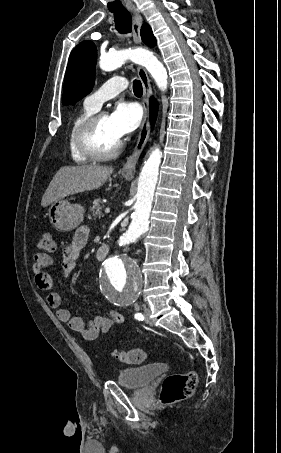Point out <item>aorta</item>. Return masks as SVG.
I'll return each mask as SVG.
<instances>
[{"label": "aorta", "instance_id": "1", "mask_svg": "<svg viewBox=\"0 0 281 453\" xmlns=\"http://www.w3.org/2000/svg\"><path fill=\"white\" fill-rule=\"evenodd\" d=\"M131 60L147 69L160 90L167 88V71L152 52L143 48L127 49L101 56L99 66L103 71H112ZM162 153L154 148L141 170L137 201L128 230L120 238V244L135 242L149 229V216L152 208L155 186L158 180ZM103 296L114 305L134 302L139 296L142 274L136 262L129 257H109L102 265L99 276Z\"/></svg>", "mask_w": 281, "mask_h": 453}]
</instances>
